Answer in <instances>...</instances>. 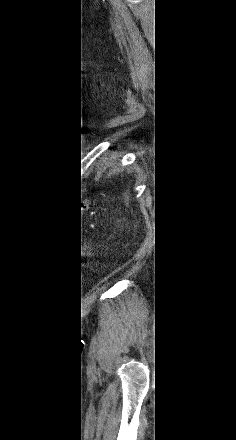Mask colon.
Returning a JSON list of instances; mask_svg holds the SVG:
<instances>
[{
    "instance_id": "obj_1",
    "label": "colon",
    "mask_w": 236,
    "mask_h": 440,
    "mask_svg": "<svg viewBox=\"0 0 236 440\" xmlns=\"http://www.w3.org/2000/svg\"><path fill=\"white\" fill-rule=\"evenodd\" d=\"M80 209H81L82 214H84V215H87L90 212L89 206L86 203L81 204Z\"/></svg>"
}]
</instances>
